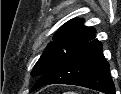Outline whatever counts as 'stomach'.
Returning a JSON list of instances; mask_svg holds the SVG:
<instances>
[{"label": "stomach", "instance_id": "stomach-1", "mask_svg": "<svg viewBox=\"0 0 121 94\" xmlns=\"http://www.w3.org/2000/svg\"><path fill=\"white\" fill-rule=\"evenodd\" d=\"M65 94H77V93H75V92H68V93H65Z\"/></svg>", "mask_w": 121, "mask_h": 94}]
</instances>
